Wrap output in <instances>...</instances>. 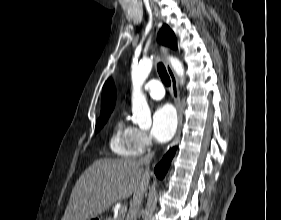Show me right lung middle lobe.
<instances>
[{"mask_svg": "<svg viewBox=\"0 0 281 220\" xmlns=\"http://www.w3.org/2000/svg\"><path fill=\"white\" fill-rule=\"evenodd\" d=\"M109 115L100 116L96 123L95 132H98L108 120Z\"/></svg>", "mask_w": 281, "mask_h": 220, "instance_id": "right-lung-middle-lobe-1", "label": "right lung middle lobe"}]
</instances>
